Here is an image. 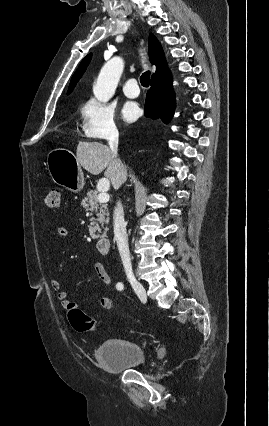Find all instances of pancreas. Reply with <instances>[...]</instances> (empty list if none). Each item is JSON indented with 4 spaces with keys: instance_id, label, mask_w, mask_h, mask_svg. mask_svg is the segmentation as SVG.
<instances>
[{
    "instance_id": "pancreas-1",
    "label": "pancreas",
    "mask_w": 269,
    "mask_h": 426,
    "mask_svg": "<svg viewBox=\"0 0 269 426\" xmlns=\"http://www.w3.org/2000/svg\"><path fill=\"white\" fill-rule=\"evenodd\" d=\"M82 206L87 211H95L96 218H91L89 232L93 239H97L99 238V234H96V231L99 233L101 232L100 224L103 228L104 224L109 223V212L107 204L98 202L97 192L90 190L88 191L87 196L82 200ZM105 231H107V228H105Z\"/></svg>"
}]
</instances>
